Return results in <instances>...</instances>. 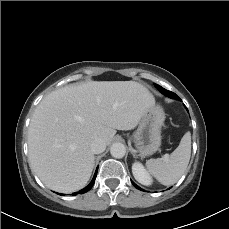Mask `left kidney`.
<instances>
[{"label": "left kidney", "instance_id": "5707ae66", "mask_svg": "<svg viewBox=\"0 0 229 229\" xmlns=\"http://www.w3.org/2000/svg\"><path fill=\"white\" fill-rule=\"evenodd\" d=\"M132 173H133L134 178L139 183L146 185V186L152 184V178L150 174L146 171V169L144 168V166L141 163L135 162L132 165Z\"/></svg>", "mask_w": 229, "mask_h": 229}]
</instances>
